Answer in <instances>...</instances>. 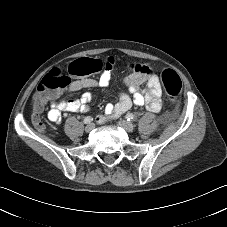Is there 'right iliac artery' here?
Wrapping results in <instances>:
<instances>
[{
    "mask_svg": "<svg viewBox=\"0 0 227 227\" xmlns=\"http://www.w3.org/2000/svg\"><path fill=\"white\" fill-rule=\"evenodd\" d=\"M92 120H93L92 117L87 116V117H85V119H84V123H85V124H88V123H90Z\"/></svg>",
    "mask_w": 227,
    "mask_h": 227,
    "instance_id": "obj_1",
    "label": "right iliac artery"
}]
</instances>
